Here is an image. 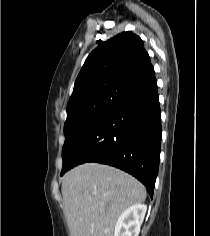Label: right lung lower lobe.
I'll list each match as a JSON object with an SVG mask.
<instances>
[{
	"label": "right lung lower lobe",
	"mask_w": 210,
	"mask_h": 236,
	"mask_svg": "<svg viewBox=\"0 0 210 236\" xmlns=\"http://www.w3.org/2000/svg\"><path fill=\"white\" fill-rule=\"evenodd\" d=\"M161 116L153 73L119 99L80 143L61 176L76 165L98 162L122 169L147 188L151 198L158 174Z\"/></svg>",
	"instance_id": "98d812e1"
}]
</instances>
